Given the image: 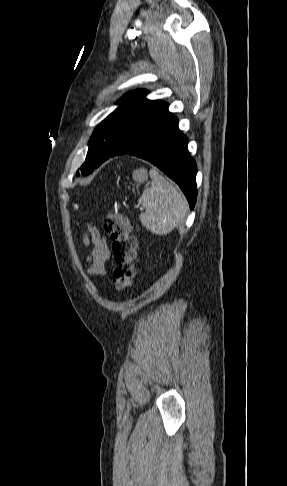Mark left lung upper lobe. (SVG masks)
<instances>
[{"instance_id":"5c2ea615","label":"left lung upper lobe","mask_w":287,"mask_h":486,"mask_svg":"<svg viewBox=\"0 0 287 486\" xmlns=\"http://www.w3.org/2000/svg\"><path fill=\"white\" fill-rule=\"evenodd\" d=\"M147 94L146 90H135L118 101L120 106L95 128L86 160L76 174L88 175L108 158L138 148L172 116L167 103L148 100Z\"/></svg>"}]
</instances>
